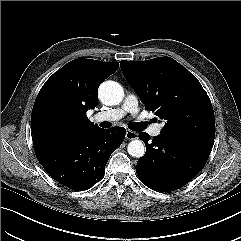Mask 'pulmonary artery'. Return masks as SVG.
I'll return each instance as SVG.
<instances>
[{
    "mask_svg": "<svg viewBox=\"0 0 241 241\" xmlns=\"http://www.w3.org/2000/svg\"><path fill=\"white\" fill-rule=\"evenodd\" d=\"M138 111L139 107L137 97L133 94H128L120 107L100 112L96 114L94 118L97 121H115L121 119L128 113L136 115ZM161 129V124H155L149 128V132L152 136H158Z\"/></svg>",
    "mask_w": 241,
    "mask_h": 241,
    "instance_id": "obj_1",
    "label": "pulmonary artery"
}]
</instances>
